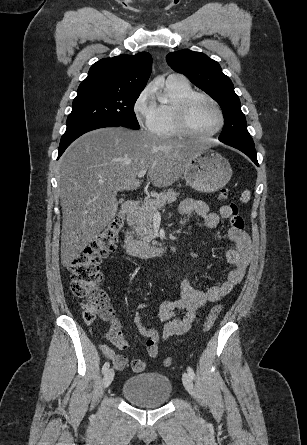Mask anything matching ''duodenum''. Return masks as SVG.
<instances>
[{
    "instance_id": "duodenum-1",
    "label": "duodenum",
    "mask_w": 307,
    "mask_h": 445,
    "mask_svg": "<svg viewBox=\"0 0 307 445\" xmlns=\"http://www.w3.org/2000/svg\"><path fill=\"white\" fill-rule=\"evenodd\" d=\"M139 204L140 202L137 200H128L124 203L123 213L129 223L133 221ZM124 248L128 255L140 257H159L167 251V247L164 245L152 244L133 238L129 231L124 234Z\"/></svg>"
}]
</instances>
